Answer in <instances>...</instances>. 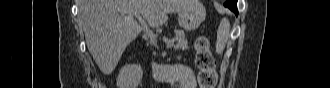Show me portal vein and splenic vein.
Masks as SVG:
<instances>
[{"label": "portal vein and splenic vein", "mask_w": 330, "mask_h": 88, "mask_svg": "<svg viewBox=\"0 0 330 88\" xmlns=\"http://www.w3.org/2000/svg\"><path fill=\"white\" fill-rule=\"evenodd\" d=\"M132 14L138 18L139 22L141 23V26L144 30V32L146 33V35H148V37L150 38V40L152 42L156 41V35L155 33H153L152 30L149 29L148 25L145 23V21L142 19V17L140 16V13L137 11H133ZM167 47H172L174 45V42L172 40L167 41L166 43Z\"/></svg>", "instance_id": "18ae733b"}]
</instances>
